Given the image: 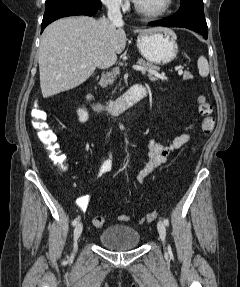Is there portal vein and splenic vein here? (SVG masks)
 Returning <instances> with one entry per match:
<instances>
[{"instance_id":"18ae733b","label":"portal vein and splenic vein","mask_w":240,"mask_h":287,"mask_svg":"<svg viewBox=\"0 0 240 287\" xmlns=\"http://www.w3.org/2000/svg\"><path fill=\"white\" fill-rule=\"evenodd\" d=\"M133 69H134V70H137V71H141V72H143V71H148V72L153 73L155 76H157V77H159V78H161V79H167V78L165 77V74H164V73L159 74L158 72H154V71H151V70H147V69H145L144 67L139 66V65H133ZM178 74H179V75L183 74V69H182V68L178 70Z\"/></svg>"}]
</instances>
